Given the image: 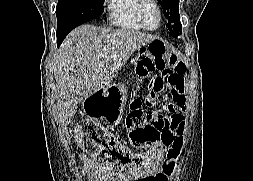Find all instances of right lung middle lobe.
Masks as SVG:
<instances>
[{
  "label": "right lung middle lobe",
  "mask_w": 253,
  "mask_h": 181,
  "mask_svg": "<svg viewBox=\"0 0 253 181\" xmlns=\"http://www.w3.org/2000/svg\"><path fill=\"white\" fill-rule=\"evenodd\" d=\"M104 0H59L56 7L57 35L69 33L103 12Z\"/></svg>",
  "instance_id": "right-lung-middle-lobe-1"
}]
</instances>
